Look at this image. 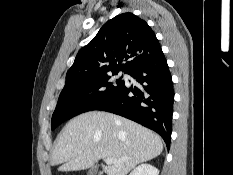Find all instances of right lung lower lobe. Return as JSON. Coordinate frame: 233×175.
<instances>
[{
	"label": "right lung lower lobe",
	"instance_id": "right-lung-lower-lobe-1",
	"mask_svg": "<svg viewBox=\"0 0 233 175\" xmlns=\"http://www.w3.org/2000/svg\"><path fill=\"white\" fill-rule=\"evenodd\" d=\"M128 74L141 84L126 85L97 110L111 112L133 120L157 132L170 148L174 89L165 56L142 63Z\"/></svg>",
	"mask_w": 233,
	"mask_h": 175
}]
</instances>
